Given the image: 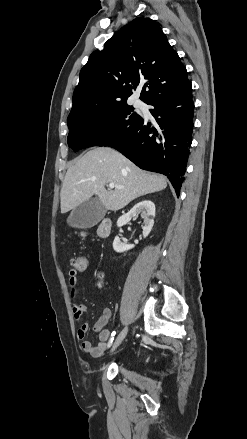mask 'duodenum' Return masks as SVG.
I'll return each instance as SVG.
<instances>
[{"instance_id":"duodenum-1","label":"duodenum","mask_w":247,"mask_h":439,"mask_svg":"<svg viewBox=\"0 0 247 439\" xmlns=\"http://www.w3.org/2000/svg\"><path fill=\"white\" fill-rule=\"evenodd\" d=\"M111 231H112V221L108 218H105L100 222L97 228V235L102 239H106L110 236Z\"/></svg>"}]
</instances>
